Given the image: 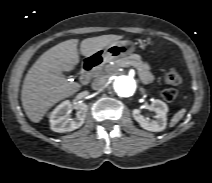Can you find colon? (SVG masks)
I'll return each mask as SVG.
<instances>
[{"instance_id": "obj_1", "label": "colon", "mask_w": 212, "mask_h": 183, "mask_svg": "<svg viewBox=\"0 0 212 183\" xmlns=\"http://www.w3.org/2000/svg\"><path fill=\"white\" fill-rule=\"evenodd\" d=\"M183 78L175 68H169L163 75V82L167 86L163 92L162 97L166 101H173L177 96L175 87L181 85Z\"/></svg>"}]
</instances>
